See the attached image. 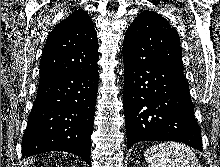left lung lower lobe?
Segmentation results:
<instances>
[{"mask_svg":"<svg viewBox=\"0 0 220 167\" xmlns=\"http://www.w3.org/2000/svg\"><path fill=\"white\" fill-rule=\"evenodd\" d=\"M123 56L127 148L139 141H176L202 150L183 71Z\"/></svg>","mask_w":220,"mask_h":167,"instance_id":"0a47b994","label":"left lung lower lobe"}]
</instances>
